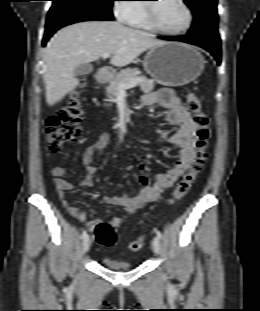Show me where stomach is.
Wrapping results in <instances>:
<instances>
[{
  "label": "stomach",
  "instance_id": "1",
  "mask_svg": "<svg viewBox=\"0 0 260 311\" xmlns=\"http://www.w3.org/2000/svg\"><path fill=\"white\" fill-rule=\"evenodd\" d=\"M204 57L192 46L166 42L146 54L144 69L161 85L182 86L197 79L204 70Z\"/></svg>",
  "mask_w": 260,
  "mask_h": 311
}]
</instances>
